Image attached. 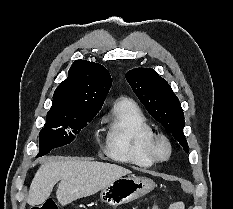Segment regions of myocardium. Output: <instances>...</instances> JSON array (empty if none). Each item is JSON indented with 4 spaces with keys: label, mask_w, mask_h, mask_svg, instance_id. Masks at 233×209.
<instances>
[{
    "label": "myocardium",
    "mask_w": 233,
    "mask_h": 209,
    "mask_svg": "<svg viewBox=\"0 0 233 209\" xmlns=\"http://www.w3.org/2000/svg\"><path fill=\"white\" fill-rule=\"evenodd\" d=\"M150 149L152 155L158 161L168 160L172 154V144L164 134H154Z\"/></svg>",
    "instance_id": "obj_1"
}]
</instances>
